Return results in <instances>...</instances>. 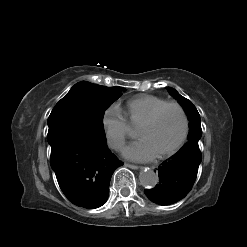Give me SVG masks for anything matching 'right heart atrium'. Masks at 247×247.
Wrapping results in <instances>:
<instances>
[{"mask_svg": "<svg viewBox=\"0 0 247 247\" xmlns=\"http://www.w3.org/2000/svg\"><path fill=\"white\" fill-rule=\"evenodd\" d=\"M105 139L110 148L119 150L129 134V123L125 114L117 105L108 107L102 116Z\"/></svg>", "mask_w": 247, "mask_h": 247, "instance_id": "obj_1", "label": "right heart atrium"}]
</instances>
